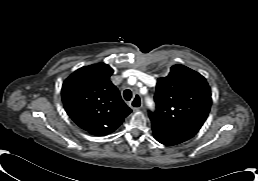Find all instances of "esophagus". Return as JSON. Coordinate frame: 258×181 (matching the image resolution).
<instances>
[{
  "instance_id": "1",
  "label": "esophagus",
  "mask_w": 258,
  "mask_h": 181,
  "mask_svg": "<svg viewBox=\"0 0 258 181\" xmlns=\"http://www.w3.org/2000/svg\"><path fill=\"white\" fill-rule=\"evenodd\" d=\"M135 105H137V106H135ZM130 106L134 111H139L141 109L142 100L139 95L134 96L133 100L130 103Z\"/></svg>"
}]
</instances>
